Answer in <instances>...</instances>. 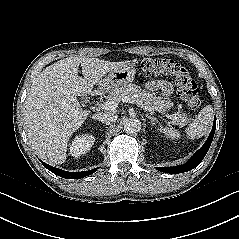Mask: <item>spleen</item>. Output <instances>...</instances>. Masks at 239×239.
I'll return each mask as SVG.
<instances>
[{
  "label": "spleen",
  "instance_id": "1",
  "mask_svg": "<svg viewBox=\"0 0 239 239\" xmlns=\"http://www.w3.org/2000/svg\"><path fill=\"white\" fill-rule=\"evenodd\" d=\"M213 115V107L206 105L196 119L186 128L187 137L195 139L205 135L213 121ZM162 132L172 140L180 138V133L172 127H165Z\"/></svg>",
  "mask_w": 239,
  "mask_h": 239
}]
</instances>
